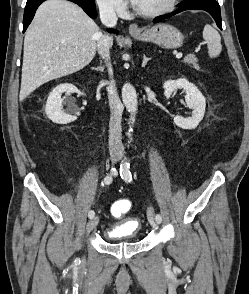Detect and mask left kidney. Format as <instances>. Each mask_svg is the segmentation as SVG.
<instances>
[{"instance_id":"obj_1","label":"left kidney","mask_w":249,"mask_h":294,"mask_svg":"<svg viewBox=\"0 0 249 294\" xmlns=\"http://www.w3.org/2000/svg\"><path fill=\"white\" fill-rule=\"evenodd\" d=\"M163 88L166 98H169L177 89L184 90L187 106L193 110L192 116L184 118L177 115L174 117V123L182 129H195L203 119L206 107L205 98L199 89L185 78L168 80Z\"/></svg>"}]
</instances>
